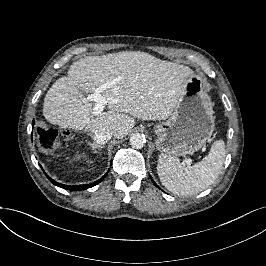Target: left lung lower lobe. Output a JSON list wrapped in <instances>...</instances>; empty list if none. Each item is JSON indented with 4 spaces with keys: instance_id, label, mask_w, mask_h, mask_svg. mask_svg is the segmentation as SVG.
Instances as JSON below:
<instances>
[{
    "instance_id": "1",
    "label": "left lung lower lobe",
    "mask_w": 266,
    "mask_h": 266,
    "mask_svg": "<svg viewBox=\"0 0 266 266\" xmlns=\"http://www.w3.org/2000/svg\"><path fill=\"white\" fill-rule=\"evenodd\" d=\"M152 182L154 183V185L156 186V187H158V185L152 180ZM159 188V187H158ZM160 189V188H159Z\"/></svg>"
}]
</instances>
